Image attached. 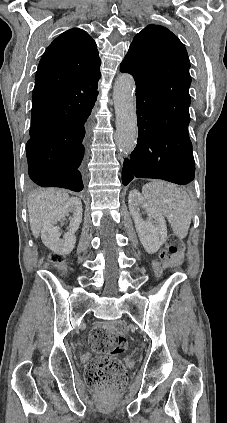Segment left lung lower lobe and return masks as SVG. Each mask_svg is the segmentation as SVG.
Here are the masks:
<instances>
[{"label":"left lung lower lobe","instance_id":"obj_1","mask_svg":"<svg viewBox=\"0 0 227 423\" xmlns=\"http://www.w3.org/2000/svg\"><path fill=\"white\" fill-rule=\"evenodd\" d=\"M189 112H156L137 106L138 140L124 160L122 182L155 178L185 185L194 179L195 162L188 134Z\"/></svg>","mask_w":227,"mask_h":423}]
</instances>
